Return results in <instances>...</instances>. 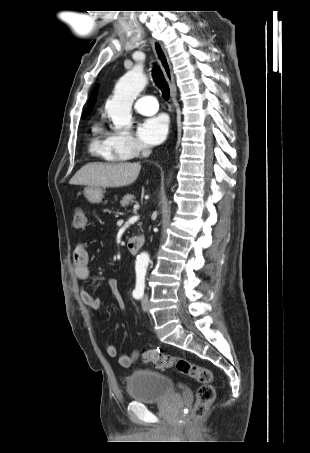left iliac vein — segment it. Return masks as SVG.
Listing matches in <instances>:
<instances>
[{"label": "left iliac vein", "mask_w": 310, "mask_h": 453, "mask_svg": "<svg viewBox=\"0 0 310 453\" xmlns=\"http://www.w3.org/2000/svg\"><path fill=\"white\" fill-rule=\"evenodd\" d=\"M148 302H149L148 295L144 294L142 299H141V306H142L143 311H147L148 310V307H149Z\"/></svg>", "instance_id": "1"}]
</instances>
